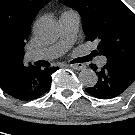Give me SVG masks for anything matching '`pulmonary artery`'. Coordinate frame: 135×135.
I'll return each instance as SVG.
<instances>
[{
  "instance_id": "1",
  "label": "pulmonary artery",
  "mask_w": 135,
  "mask_h": 135,
  "mask_svg": "<svg viewBox=\"0 0 135 135\" xmlns=\"http://www.w3.org/2000/svg\"><path fill=\"white\" fill-rule=\"evenodd\" d=\"M60 38L48 47L31 50L26 53V58L30 61L51 60L66 52L75 42L80 25V18L76 12H65L59 18ZM99 63L104 65L106 57L101 56Z\"/></svg>"
}]
</instances>
